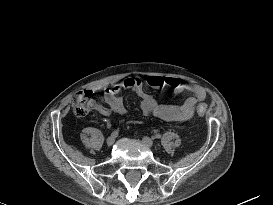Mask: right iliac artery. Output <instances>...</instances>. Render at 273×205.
Wrapping results in <instances>:
<instances>
[{"label": "right iliac artery", "instance_id": "1", "mask_svg": "<svg viewBox=\"0 0 273 205\" xmlns=\"http://www.w3.org/2000/svg\"><path fill=\"white\" fill-rule=\"evenodd\" d=\"M111 135L117 137L118 136V130L113 131Z\"/></svg>", "mask_w": 273, "mask_h": 205}]
</instances>
